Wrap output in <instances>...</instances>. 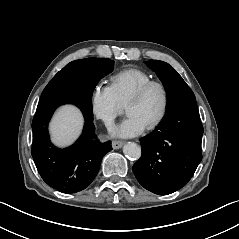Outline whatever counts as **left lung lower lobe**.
Masks as SVG:
<instances>
[{"label": "left lung lower lobe", "instance_id": "obj_1", "mask_svg": "<svg viewBox=\"0 0 239 239\" xmlns=\"http://www.w3.org/2000/svg\"><path fill=\"white\" fill-rule=\"evenodd\" d=\"M203 126L195 99L177 103L155 131L140 139L133 172L147 190L166 195L185 186L202 159Z\"/></svg>", "mask_w": 239, "mask_h": 239}]
</instances>
